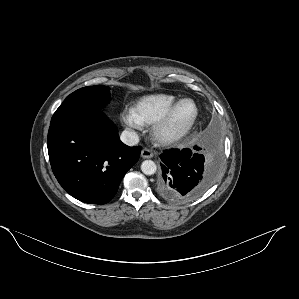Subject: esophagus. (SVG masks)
Wrapping results in <instances>:
<instances>
[{"instance_id": "esophagus-1", "label": "esophagus", "mask_w": 299, "mask_h": 299, "mask_svg": "<svg viewBox=\"0 0 299 299\" xmlns=\"http://www.w3.org/2000/svg\"><path fill=\"white\" fill-rule=\"evenodd\" d=\"M154 156L153 152L147 148L141 151V157L144 159L152 158Z\"/></svg>"}]
</instances>
